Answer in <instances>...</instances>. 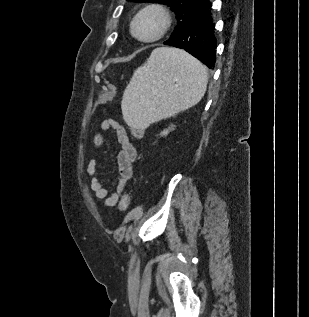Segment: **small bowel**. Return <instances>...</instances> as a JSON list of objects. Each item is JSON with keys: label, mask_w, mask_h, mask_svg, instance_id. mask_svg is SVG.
I'll return each instance as SVG.
<instances>
[{"label": "small bowel", "mask_w": 309, "mask_h": 317, "mask_svg": "<svg viewBox=\"0 0 309 317\" xmlns=\"http://www.w3.org/2000/svg\"><path fill=\"white\" fill-rule=\"evenodd\" d=\"M101 126L105 131H114L121 146L117 155L118 177L116 191L109 193L103 181L97 175L100 164L96 159H92L88 163L86 171L88 176L91 177L90 187L94 196L103 200L105 207L111 208L120 204L126 184L133 176V167L137 153L129 140L125 127L121 123L112 119H106L102 122Z\"/></svg>", "instance_id": "c3829d8e"}]
</instances>
